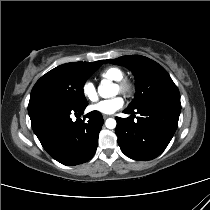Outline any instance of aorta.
Returning <instances> with one entry per match:
<instances>
[{"instance_id":"aorta-1","label":"aorta","mask_w":210,"mask_h":210,"mask_svg":"<svg viewBox=\"0 0 210 210\" xmlns=\"http://www.w3.org/2000/svg\"><path fill=\"white\" fill-rule=\"evenodd\" d=\"M112 88L113 84L101 85L98 88V93L103 98L111 97L113 96ZM105 125L108 129H114L116 127V120L113 118H109L106 120Z\"/></svg>"}]
</instances>
